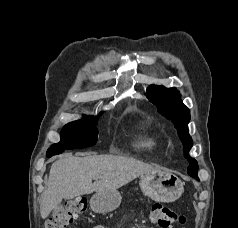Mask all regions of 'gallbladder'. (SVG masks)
I'll list each match as a JSON object with an SVG mask.
<instances>
[{"label":"gallbladder","mask_w":238,"mask_h":228,"mask_svg":"<svg viewBox=\"0 0 238 228\" xmlns=\"http://www.w3.org/2000/svg\"><path fill=\"white\" fill-rule=\"evenodd\" d=\"M60 209H61V207H60V208H56L54 211L57 212V211H59Z\"/></svg>","instance_id":"bac80fb5"}]
</instances>
